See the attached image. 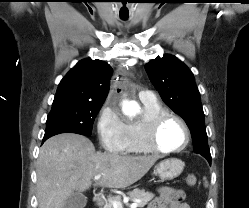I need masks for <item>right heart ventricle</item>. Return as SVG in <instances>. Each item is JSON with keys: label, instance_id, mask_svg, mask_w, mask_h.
Instances as JSON below:
<instances>
[{"label": "right heart ventricle", "instance_id": "right-heart-ventricle-1", "mask_svg": "<svg viewBox=\"0 0 249 208\" xmlns=\"http://www.w3.org/2000/svg\"><path fill=\"white\" fill-rule=\"evenodd\" d=\"M167 112L160 103H143V113L140 119L126 124L124 153H149L143 146V132L145 126L157 115Z\"/></svg>", "mask_w": 249, "mask_h": 208}]
</instances>
